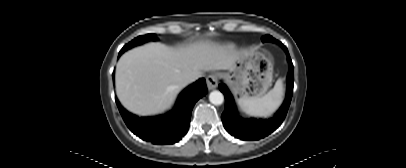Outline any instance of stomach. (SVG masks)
Masks as SVG:
<instances>
[{
    "label": "stomach",
    "mask_w": 406,
    "mask_h": 168,
    "mask_svg": "<svg viewBox=\"0 0 406 168\" xmlns=\"http://www.w3.org/2000/svg\"><path fill=\"white\" fill-rule=\"evenodd\" d=\"M223 77L238 101L260 98L272 85L273 63L258 49H247L240 53L234 67Z\"/></svg>",
    "instance_id": "stomach-1"
}]
</instances>
